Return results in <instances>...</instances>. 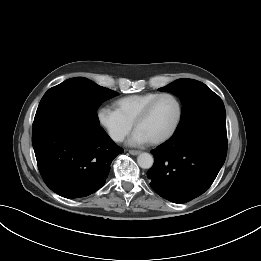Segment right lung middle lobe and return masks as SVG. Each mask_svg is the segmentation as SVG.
I'll return each mask as SVG.
<instances>
[{
    "label": "right lung middle lobe",
    "mask_w": 261,
    "mask_h": 261,
    "mask_svg": "<svg viewBox=\"0 0 261 261\" xmlns=\"http://www.w3.org/2000/svg\"><path fill=\"white\" fill-rule=\"evenodd\" d=\"M118 93L93 81L76 77L50 88L42 97L32 126L36 129L48 122L70 120L99 126V105Z\"/></svg>",
    "instance_id": "1"
}]
</instances>
